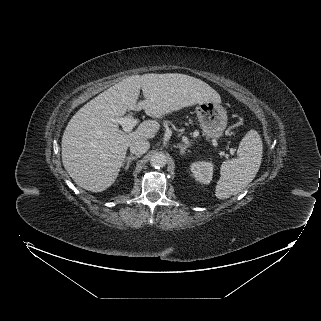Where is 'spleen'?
I'll return each mask as SVG.
<instances>
[{"instance_id":"spleen-1","label":"spleen","mask_w":321,"mask_h":321,"mask_svg":"<svg viewBox=\"0 0 321 321\" xmlns=\"http://www.w3.org/2000/svg\"><path fill=\"white\" fill-rule=\"evenodd\" d=\"M263 145L256 130H250L241 140L237 157L225 160L220 168L215 195L218 199H227L237 195L256 176L262 161Z\"/></svg>"}]
</instances>
